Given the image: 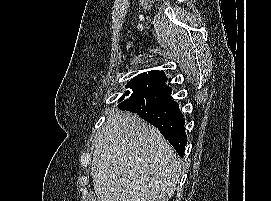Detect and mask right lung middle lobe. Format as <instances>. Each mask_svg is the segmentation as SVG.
Returning <instances> with one entry per match:
<instances>
[{
    "label": "right lung middle lobe",
    "mask_w": 271,
    "mask_h": 201,
    "mask_svg": "<svg viewBox=\"0 0 271 201\" xmlns=\"http://www.w3.org/2000/svg\"><path fill=\"white\" fill-rule=\"evenodd\" d=\"M152 79V74L149 73H141L139 75H137L136 77H134L126 86V88H131L132 89V93L130 96H134V95H138V94H142L147 85L149 84V82ZM130 91H128L127 93H125L119 100V104L122 102V100L124 99L125 96L129 95Z\"/></svg>",
    "instance_id": "dd1d6c3e"
}]
</instances>
